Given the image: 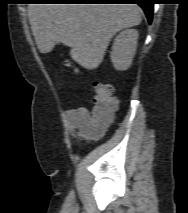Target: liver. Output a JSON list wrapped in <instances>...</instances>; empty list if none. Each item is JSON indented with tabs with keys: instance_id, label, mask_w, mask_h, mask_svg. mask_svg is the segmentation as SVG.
<instances>
[{
	"instance_id": "liver-1",
	"label": "liver",
	"mask_w": 188,
	"mask_h": 213,
	"mask_svg": "<svg viewBox=\"0 0 188 213\" xmlns=\"http://www.w3.org/2000/svg\"><path fill=\"white\" fill-rule=\"evenodd\" d=\"M28 17L41 53L62 43L75 62L94 70L113 36L141 23L142 9L136 4H30Z\"/></svg>"
}]
</instances>
